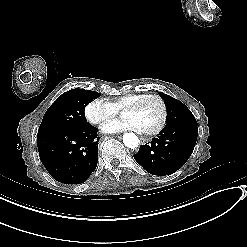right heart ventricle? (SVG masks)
<instances>
[{
  "mask_svg": "<svg viewBox=\"0 0 247 247\" xmlns=\"http://www.w3.org/2000/svg\"><path fill=\"white\" fill-rule=\"evenodd\" d=\"M142 95H144L143 93H137V94H129V95H126V96H123V97H119V98H116L114 101H113V104L115 106V108H121V107H125V106H129L132 104V102L141 97ZM143 131V130H141Z\"/></svg>",
  "mask_w": 247,
  "mask_h": 247,
  "instance_id": "obj_1",
  "label": "right heart ventricle"
}]
</instances>
